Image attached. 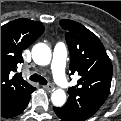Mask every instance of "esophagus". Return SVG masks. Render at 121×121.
Wrapping results in <instances>:
<instances>
[{
	"mask_svg": "<svg viewBox=\"0 0 121 121\" xmlns=\"http://www.w3.org/2000/svg\"><path fill=\"white\" fill-rule=\"evenodd\" d=\"M43 88L47 91H52L53 90V86L50 84V85H45L43 86Z\"/></svg>",
	"mask_w": 121,
	"mask_h": 121,
	"instance_id": "34e87169",
	"label": "esophagus"
}]
</instances>
